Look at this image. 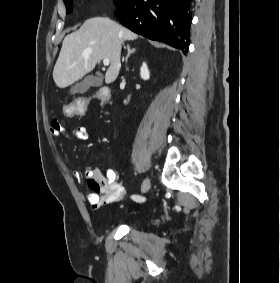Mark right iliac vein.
I'll use <instances>...</instances> for the list:
<instances>
[{"mask_svg": "<svg viewBox=\"0 0 280 283\" xmlns=\"http://www.w3.org/2000/svg\"><path fill=\"white\" fill-rule=\"evenodd\" d=\"M150 186H151L150 180L146 178L142 184L141 191L143 193L147 192L150 189Z\"/></svg>", "mask_w": 280, "mask_h": 283, "instance_id": "63e3f726", "label": "right iliac vein"}]
</instances>
